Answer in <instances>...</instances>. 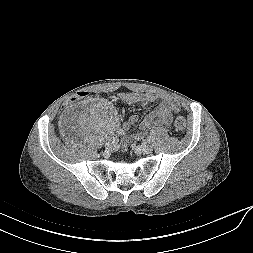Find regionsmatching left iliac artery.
I'll return each instance as SVG.
<instances>
[{
	"label": "left iliac artery",
	"mask_w": 253,
	"mask_h": 253,
	"mask_svg": "<svg viewBox=\"0 0 253 253\" xmlns=\"http://www.w3.org/2000/svg\"><path fill=\"white\" fill-rule=\"evenodd\" d=\"M147 141H148L149 143H152V142H153V137H152V136H149V137L147 138Z\"/></svg>",
	"instance_id": "left-iliac-artery-1"
}]
</instances>
